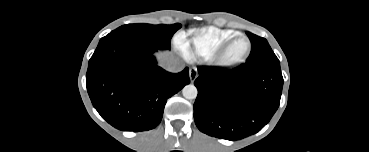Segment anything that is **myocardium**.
Returning <instances> with one entry per match:
<instances>
[{"mask_svg": "<svg viewBox=\"0 0 369 152\" xmlns=\"http://www.w3.org/2000/svg\"><path fill=\"white\" fill-rule=\"evenodd\" d=\"M240 39H244L247 42V50L246 52L239 58L236 59H230L228 57V51L230 49V47L237 41ZM252 50V43L250 41V39L244 35V34H237L231 38H229L227 41H225L220 47L219 49L216 51V53L213 55V57L211 58L212 61L221 67H234L237 66L243 62L246 61V59L249 57L250 53Z\"/></svg>", "mask_w": 369, "mask_h": 152, "instance_id": "myocardium-1", "label": "myocardium"}]
</instances>
